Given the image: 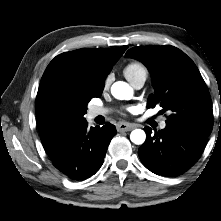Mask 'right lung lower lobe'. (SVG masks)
I'll return each mask as SVG.
<instances>
[{
  "mask_svg": "<svg viewBox=\"0 0 221 221\" xmlns=\"http://www.w3.org/2000/svg\"><path fill=\"white\" fill-rule=\"evenodd\" d=\"M81 122L49 154L54 166L74 180H84L95 174L103 160L111 139L116 135L114 125L87 127Z\"/></svg>",
  "mask_w": 221,
  "mask_h": 221,
  "instance_id": "right-lung-lower-lobe-1",
  "label": "right lung lower lobe"
}]
</instances>
